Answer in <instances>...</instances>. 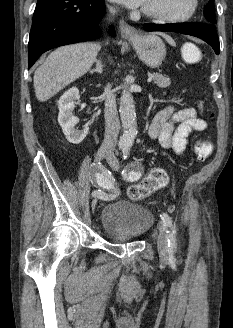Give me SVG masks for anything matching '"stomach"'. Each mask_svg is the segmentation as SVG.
<instances>
[{"instance_id": "0dacf381", "label": "stomach", "mask_w": 233, "mask_h": 328, "mask_svg": "<svg viewBox=\"0 0 233 328\" xmlns=\"http://www.w3.org/2000/svg\"><path fill=\"white\" fill-rule=\"evenodd\" d=\"M139 58L149 67H159L165 59L166 47L155 34H141L129 39Z\"/></svg>"}]
</instances>
